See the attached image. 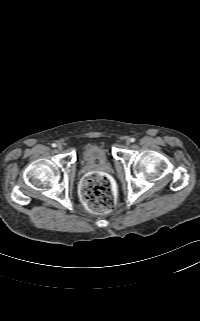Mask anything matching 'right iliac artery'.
Here are the masks:
<instances>
[{
	"label": "right iliac artery",
	"instance_id": "1",
	"mask_svg": "<svg viewBox=\"0 0 200 321\" xmlns=\"http://www.w3.org/2000/svg\"><path fill=\"white\" fill-rule=\"evenodd\" d=\"M56 146H57L56 143H53V144H52V147H56Z\"/></svg>",
	"mask_w": 200,
	"mask_h": 321
}]
</instances>
